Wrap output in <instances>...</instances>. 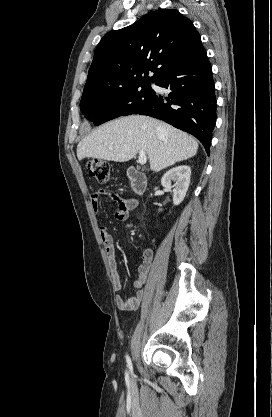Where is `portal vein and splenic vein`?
<instances>
[{
	"instance_id": "18ae733b",
	"label": "portal vein and splenic vein",
	"mask_w": 272,
	"mask_h": 417,
	"mask_svg": "<svg viewBox=\"0 0 272 417\" xmlns=\"http://www.w3.org/2000/svg\"><path fill=\"white\" fill-rule=\"evenodd\" d=\"M147 162V156L146 153L144 151H140L139 152V158H138V163L140 165H144Z\"/></svg>"
}]
</instances>
